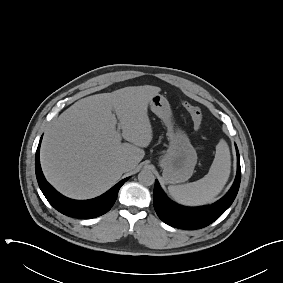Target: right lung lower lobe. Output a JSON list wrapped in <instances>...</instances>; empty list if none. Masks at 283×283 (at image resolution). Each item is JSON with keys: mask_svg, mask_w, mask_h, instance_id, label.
I'll list each match as a JSON object with an SVG mask.
<instances>
[{"mask_svg": "<svg viewBox=\"0 0 283 283\" xmlns=\"http://www.w3.org/2000/svg\"><path fill=\"white\" fill-rule=\"evenodd\" d=\"M42 139V138H41ZM41 139L36 151L35 171L36 177L41 191L43 192L49 203L64 215L89 219L98 217L108 212L116 201L120 187L128 180L123 179L112 187L105 194L90 200H73L61 195L57 192L45 179L39 161V149Z\"/></svg>", "mask_w": 283, "mask_h": 283, "instance_id": "right-lung-lower-lobe-1", "label": "right lung lower lobe"}]
</instances>
